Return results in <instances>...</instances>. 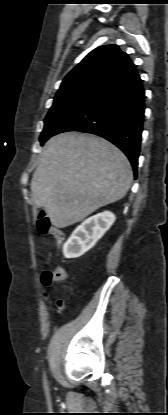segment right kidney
<instances>
[{
	"label": "right kidney",
	"instance_id": "ca27d5eb",
	"mask_svg": "<svg viewBox=\"0 0 168 415\" xmlns=\"http://www.w3.org/2000/svg\"><path fill=\"white\" fill-rule=\"evenodd\" d=\"M115 220L116 217L112 212L104 211L82 222L63 246L65 258H77L90 250Z\"/></svg>",
	"mask_w": 168,
	"mask_h": 415
}]
</instances>
